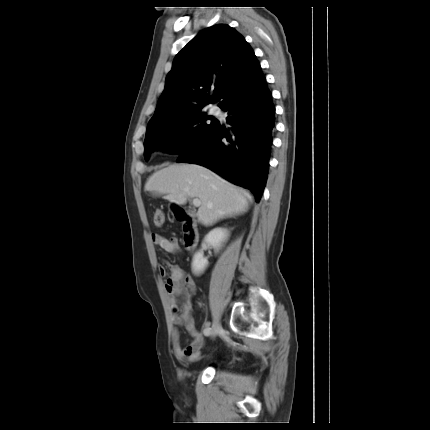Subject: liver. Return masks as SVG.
Returning <instances> with one entry per match:
<instances>
[{
  "instance_id": "liver-1",
  "label": "liver",
  "mask_w": 430,
  "mask_h": 430,
  "mask_svg": "<svg viewBox=\"0 0 430 430\" xmlns=\"http://www.w3.org/2000/svg\"><path fill=\"white\" fill-rule=\"evenodd\" d=\"M145 191L183 205L187 198L201 201L198 221L211 226L217 220L245 212L250 195L210 169L196 164L169 165L153 173Z\"/></svg>"
}]
</instances>
